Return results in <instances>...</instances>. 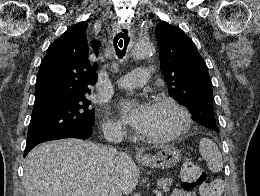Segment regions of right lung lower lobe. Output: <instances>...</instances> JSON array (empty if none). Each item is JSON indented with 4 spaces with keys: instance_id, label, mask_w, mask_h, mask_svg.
Segmentation results:
<instances>
[{
    "instance_id": "obj_1",
    "label": "right lung lower lobe",
    "mask_w": 260,
    "mask_h": 196,
    "mask_svg": "<svg viewBox=\"0 0 260 196\" xmlns=\"http://www.w3.org/2000/svg\"><path fill=\"white\" fill-rule=\"evenodd\" d=\"M92 135V128H88V129H84V130H80V131H76L64 136H61L55 140L58 139H63V138H79V139H87ZM35 147V146H34ZM33 147H26L25 149V154L24 157L28 154V152L32 149Z\"/></svg>"
}]
</instances>
